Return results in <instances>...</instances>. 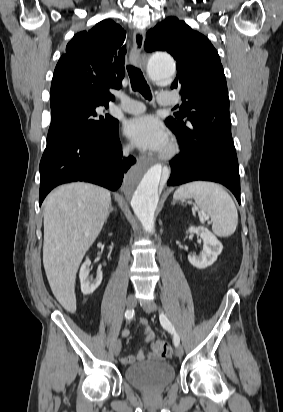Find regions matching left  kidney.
<instances>
[{
    "instance_id": "left-kidney-1",
    "label": "left kidney",
    "mask_w": 283,
    "mask_h": 412,
    "mask_svg": "<svg viewBox=\"0 0 283 412\" xmlns=\"http://www.w3.org/2000/svg\"><path fill=\"white\" fill-rule=\"evenodd\" d=\"M187 233L197 234L203 240V253L200 256L188 255L189 262L199 269L211 266L222 252L221 242L205 227H190Z\"/></svg>"
}]
</instances>
